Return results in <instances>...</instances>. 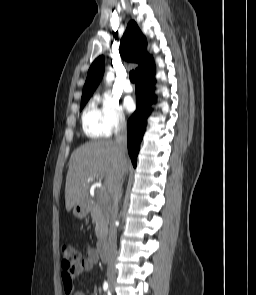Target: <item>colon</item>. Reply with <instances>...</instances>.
Returning <instances> with one entry per match:
<instances>
[{
	"instance_id": "5ec220e1",
	"label": "colon",
	"mask_w": 256,
	"mask_h": 295,
	"mask_svg": "<svg viewBox=\"0 0 256 295\" xmlns=\"http://www.w3.org/2000/svg\"><path fill=\"white\" fill-rule=\"evenodd\" d=\"M80 260V254L73 246L65 244L61 247V265L63 269L73 270Z\"/></svg>"
}]
</instances>
